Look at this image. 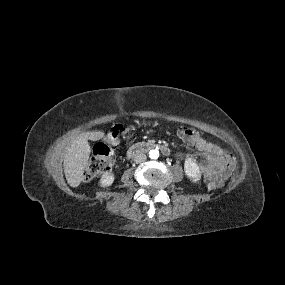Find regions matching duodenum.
<instances>
[{"label":"duodenum","instance_id":"1","mask_svg":"<svg viewBox=\"0 0 285 285\" xmlns=\"http://www.w3.org/2000/svg\"><path fill=\"white\" fill-rule=\"evenodd\" d=\"M149 149H158L161 151L164 155L169 154V149L164 144H158V143H151V142H139L134 145H132L127 150V157L131 158L139 153L145 152Z\"/></svg>","mask_w":285,"mask_h":285}]
</instances>
